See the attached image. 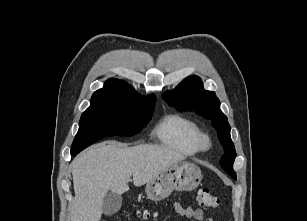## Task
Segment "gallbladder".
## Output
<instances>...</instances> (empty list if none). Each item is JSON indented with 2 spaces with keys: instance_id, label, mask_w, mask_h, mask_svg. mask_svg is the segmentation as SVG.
<instances>
[{
  "instance_id": "bac80fb5",
  "label": "gallbladder",
  "mask_w": 307,
  "mask_h": 221,
  "mask_svg": "<svg viewBox=\"0 0 307 221\" xmlns=\"http://www.w3.org/2000/svg\"><path fill=\"white\" fill-rule=\"evenodd\" d=\"M122 205V197L119 194L108 192L102 204V212L107 216H111L118 212Z\"/></svg>"
}]
</instances>
